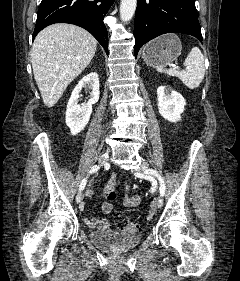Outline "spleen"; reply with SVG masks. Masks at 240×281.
<instances>
[{
  "mask_svg": "<svg viewBox=\"0 0 240 281\" xmlns=\"http://www.w3.org/2000/svg\"><path fill=\"white\" fill-rule=\"evenodd\" d=\"M184 66L185 70L177 71L173 68L163 69L157 67L158 72L166 73L172 77H178L189 89L199 87L205 75L204 56L198 47H193L187 55Z\"/></svg>",
  "mask_w": 240,
  "mask_h": 281,
  "instance_id": "1",
  "label": "spleen"
}]
</instances>
